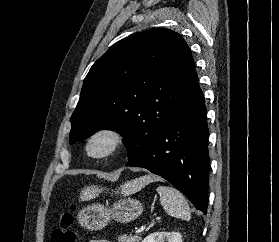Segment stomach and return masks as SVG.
<instances>
[{
    "instance_id": "0dacf381",
    "label": "stomach",
    "mask_w": 279,
    "mask_h": 242,
    "mask_svg": "<svg viewBox=\"0 0 279 242\" xmlns=\"http://www.w3.org/2000/svg\"><path fill=\"white\" fill-rule=\"evenodd\" d=\"M142 213L143 205L140 201L125 198L114 202L111 207L101 203L89 204L78 212L77 219L82 227L92 231L103 229L111 220L128 223Z\"/></svg>"
}]
</instances>
